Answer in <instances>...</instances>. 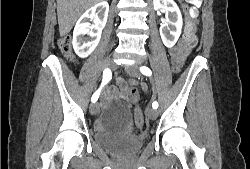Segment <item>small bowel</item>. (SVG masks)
Returning <instances> with one entry per match:
<instances>
[{"mask_svg":"<svg viewBox=\"0 0 250 169\" xmlns=\"http://www.w3.org/2000/svg\"><path fill=\"white\" fill-rule=\"evenodd\" d=\"M191 28L195 30L196 26L191 25ZM195 43H190L186 39L179 47H174L170 50L169 54L172 63H177L180 68L183 66L185 60L189 56ZM116 86H104L102 89L101 100L104 104L110 105L115 98H120L127 102V108H130V103L128 102V86L136 84L135 81H127L124 78L117 76L115 78ZM143 88L145 86L143 85ZM97 127H100V122L97 123Z\"/></svg>","mask_w":250,"mask_h":169,"instance_id":"small-bowel-1","label":"small bowel"}]
</instances>
